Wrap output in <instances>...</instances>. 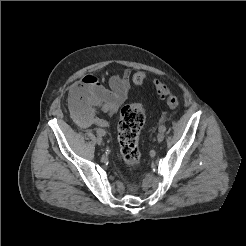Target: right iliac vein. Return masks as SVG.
Segmentation results:
<instances>
[{
    "instance_id": "1",
    "label": "right iliac vein",
    "mask_w": 246,
    "mask_h": 246,
    "mask_svg": "<svg viewBox=\"0 0 246 246\" xmlns=\"http://www.w3.org/2000/svg\"><path fill=\"white\" fill-rule=\"evenodd\" d=\"M96 142H97L99 145H101V144L103 143L102 137H101V136H97Z\"/></svg>"
}]
</instances>
